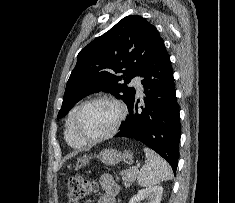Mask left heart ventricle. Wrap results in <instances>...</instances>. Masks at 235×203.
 I'll return each instance as SVG.
<instances>
[{"label": "left heart ventricle", "mask_w": 235, "mask_h": 203, "mask_svg": "<svg viewBox=\"0 0 235 203\" xmlns=\"http://www.w3.org/2000/svg\"><path fill=\"white\" fill-rule=\"evenodd\" d=\"M118 117V108L106 101L86 106L78 120L79 131L88 138H95L109 132Z\"/></svg>", "instance_id": "left-heart-ventricle-1"}]
</instances>
